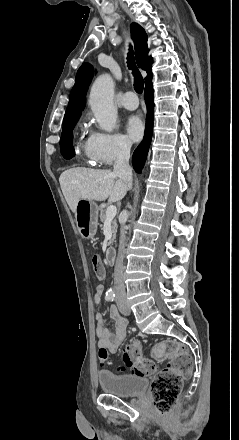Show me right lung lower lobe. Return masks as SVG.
<instances>
[{
    "mask_svg": "<svg viewBox=\"0 0 239 440\" xmlns=\"http://www.w3.org/2000/svg\"><path fill=\"white\" fill-rule=\"evenodd\" d=\"M145 102L147 105V116L145 126L144 141L134 151L132 157V164L136 172L140 173L147 157L148 149L150 146L152 133H153V120H154V97L152 86V74L145 78ZM63 157L69 159L74 156L73 148L62 153Z\"/></svg>",
    "mask_w": 239,
    "mask_h": 440,
    "instance_id": "98d812e1",
    "label": "right lung lower lobe"
}]
</instances>
